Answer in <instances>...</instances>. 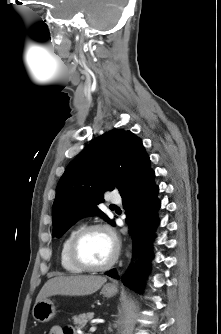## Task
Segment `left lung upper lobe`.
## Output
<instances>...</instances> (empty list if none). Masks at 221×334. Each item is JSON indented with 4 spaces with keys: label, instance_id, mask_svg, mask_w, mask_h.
Listing matches in <instances>:
<instances>
[{
    "label": "left lung upper lobe",
    "instance_id": "left-lung-upper-lobe-1",
    "mask_svg": "<svg viewBox=\"0 0 221 334\" xmlns=\"http://www.w3.org/2000/svg\"><path fill=\"white\" fill-rule=\"evenodd\" d=\"M148 163L141 139L131 131L113 130L92 141L58 182L52 236L60 238L84 216H103L96 205L103 202L104 192L116 187L121 194Z\"/></svg>",
    "mask_w": 221,
    "mask_h": 334
}]
</instances>
